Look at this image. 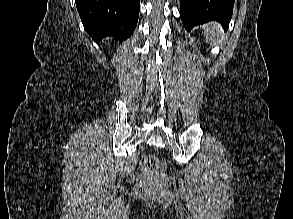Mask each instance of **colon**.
Masks as SVG:
<instances>
[{
	"label": "colon",
	"mask_w": 293,
	"mask_h": 219,
	"mask_svg": "<svg viewBox=\"0 0 293 219\" xmlns=\"http://www.w3.org/2000/svg\"><path fill=\"white\" fill-rule=\"evenodd\" d=\"M140 166L148 172H163L167 169V163L160 161L156 156L145 154L140 159ZM151 191L150 186L144 181H138L134 187V193L138 197L146 196Z\"/></svg>",
	"instance_id": "colon-1"
}]
</instances>
